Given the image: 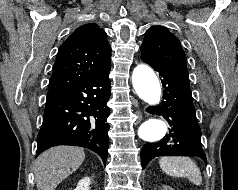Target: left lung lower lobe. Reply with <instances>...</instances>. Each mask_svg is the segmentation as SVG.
Returning a JSON list of instances; mask_svg holds the SVG:
<instances>
[{"instance_id": "left-lung-lower-lobe-1", "label": "left lung lower lobe", "mask_w": 238, "mask_h": 190, "mask_svg": "<svg viewBox=\"0 0 238 190\" xmlns=\"http://www.w3.org/2000/svg\"><path fill=\"white\" fill-rule=\"evenodd\" d=\"M141 59L159 73L164 88V101L160 107H150L147 111L163 115L172 127L160 141L143 146L142 168L154 157L165 155L197 156L206 161L187 69L159 64L143 57Z\"/></svg>"}]
</instances>
